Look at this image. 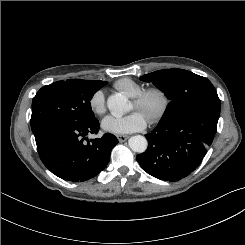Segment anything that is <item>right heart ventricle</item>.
<instances>
[{
    "label": "right heart ventricle",
    "mask_w": 245,
    "mask_h": 245,
    "mask_svg": "<svg viewBox=\"0 0 245 245\" xmlns=\"http://www.w3.org/2000/svg\"><path fill=\"white\" fill-rule=\"evenodd\" d=\"M114 87L126 94L129 97H135L142 90H144V85L131 79V78H121L114 83Z\"/></svg>",
    "instance_id": "1"
}]
</instances>
